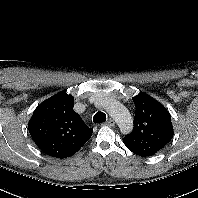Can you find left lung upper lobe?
<instances>
[{
	"label": "left lung upper lobe",
	"mask_w": 198,
	"mask_h": 198,
	"mask_svg": "<svg viewBox=\"0 0 198 198\" xmlns=\"http://www.w3.org/2000/svg\"><path fill=\"white\" fill-rule=\"evenodd\" d=\"M132 99L136 107L134 128L125 135L123 143L136 155L152 156L173 138L171 116L162 104L145 93Z\"/></svg>",
	"instance_id": "obj_1"
}]
</instances>
